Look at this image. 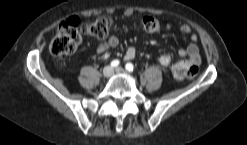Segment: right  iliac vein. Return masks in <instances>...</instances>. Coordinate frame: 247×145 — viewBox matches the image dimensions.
Returning <instances> with one entry per match:
<instances>
[{
	"label": "right iliac vein",
	"instance_id": "63e3f726",
	"mask_svg": "<svg viewBox=\"0 0 247 145\" xmlns=\"http://www.w3.org/2000/svg\"><path fill=\"white\" fill-rule=\"evenodd\" d=\"M112 73H113V69H112L111 67H106V68H104V70H103V75H104L105 77L111 76Z\"/></svg>",
	"mask_w": 247,
	"mask_h": 145
}]
</instances>
